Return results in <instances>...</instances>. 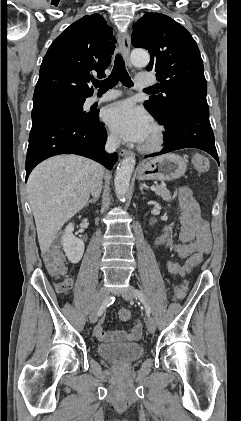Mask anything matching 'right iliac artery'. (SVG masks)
Here are the masks:
<instances>
[{
    "instance_id": "82829eb1",
    "label": "right iliac artery",
    "mask_w": 241,
    "mask_h": 421,
    "mask_svg": "<svg viewBox=\"0 0 241 421\" xmlns=\"http://www.w3.org/2000/svg\"><path fill=\"white\" fill-rule=\"evenodd\" d=\"M115 298L114 297H109L107 298L101 305L99 312H98V316H101L103 314V312L107 309L108 306H110L111 304H113Z\"/></svg>"
}]
</instances>
